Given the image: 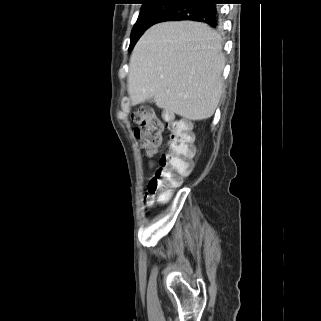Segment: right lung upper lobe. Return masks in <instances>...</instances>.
Masks as SVG:
<instances>
[{"mask_svg": "<svg viewBox=\"0 0 321 321\" xmlns=\"http://www.w3.org/2000/svg\"><path fill=\"white\" fill-rule=\"evenodd\" d=\"M142 1H143V4H146V3L154 1V0H142ZM174 1H176V4H180L186 0H174Z\"/></svg>", "mask_w": 321, "mask_h": 321, "instance_id": "1", "label": "right lung upper lobe"}]
</instances>
